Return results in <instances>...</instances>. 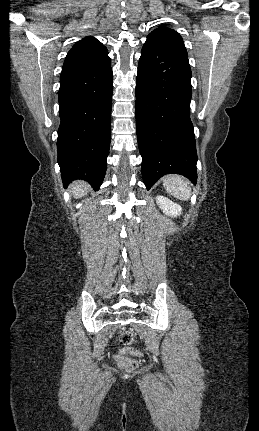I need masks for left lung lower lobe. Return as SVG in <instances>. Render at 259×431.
Wrapping results in <instances>:
<instances>
[{"instance_id": "0a47b994", "label": "left lung lower lobe", "mask_w": 259, "mask_h": 431, "mask_svg": "<svg viewBox=\"0 0 259 431\" xmlns=\"http://www.w3.org/2000/svg\"><path fill=\"white\" fill-rule=\"evenodd\" d=\"M191 76L187 57L149 40L144 43L136 79V130L147 189L169 173L196 183Z\"/></svg>"}]
</instances>
